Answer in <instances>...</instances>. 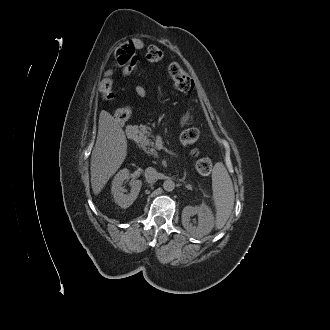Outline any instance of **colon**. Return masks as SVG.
I'll return each instance as SVG.
<instances>
[{
	"label": "colon",
	"instance_id": "5ec220e1",
	"mask_svg": "<svg viewBox=\"0 0 330 330\" xmlns=\"http://www.w3.org/2000/svg\"><path fill=\"white\" fill-rule=\"evenodd\" d=\"M146 60L150 65L159 63L163 58V51L157 46H149L146 50ZM115 58L119 65H125L135 59L134 47L130 43L120 46L115 52ZM168 74L174 84L176 90L184 94H190L194 91V81L190 75L181 67L180 64L174 62L168 66ZM99 92L103 99H110L113 96L112 83L107 76L99 86ZM116 120L122 122L125 118L120 117L117 110L114 114ZM199 138V131L196 128H188L181 134V142L185 146L194 145ZM191 154L195 157L199 156L197 148L191 149ZM196 169L200 174H209L212 170V161L210 158L201 156L196 160Z\"/></svg>",
	"mask_w": 330,
	"mask_h": 330
}]
</instances>
